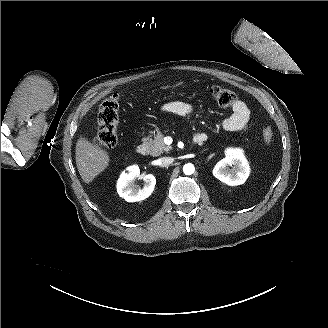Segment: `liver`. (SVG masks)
<instances>
[{"label": "liver", "mask_w": 328, "mask_h": 328, "mask_svg": "<svg viewBox=\"0 0 328 328\" xmlns=\"http://www.w3.org/2000/svg\"><path fill=\"white\" fill-rule=\"evenodd\" d=\"M75 159L81 179L87 185H90L111 164L110 153L92 143L84 135H80L77 139Z\"/></svg>", "instance_id": "obj_1"}]
</instances>
